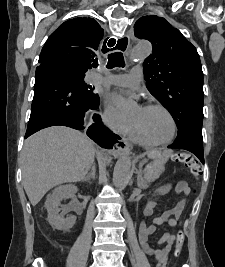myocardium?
<instances>
[{"instance_id": "obj_1", "label": "myocardium", "mask_w": 225, "mask_h": 267, "mask_svg": "<svg viewBox=\"0 0 225 267\" xmlns=\"http://www.w3.org/2000/svg\"><path fill=\"white\" fill-rule=\"evenodd\" d=\"M142 108L147 109V110L158 109V110L164 112L170 118V120L172 122L173 131H172V135L167 140H164V141H152L145 135L143 130L137 124L133 123L134 129L141 136V138L151 146H164V145H168V144L172 143L174 141V139L176 138L177 132H178L177 121H176L175 117L173 116V114L167 108H165L164 106H162L160 104H155V103L145 104V105L142 106Z\"/></svg>"}]
</instances>
